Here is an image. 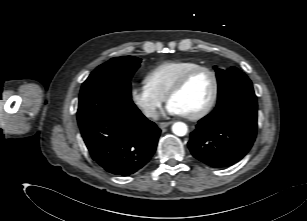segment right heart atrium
<instances>
[{
    "instance_id": "1",
    "label": "right heart atrium",
    "mask_w": 307,
    "mask_h": 221,
    "mask_svg": "<svg viewBox=\"0 0 307 221\" xmlns=\"http://www.w3.org/2000/svg\"><path fill=\"white\" fill-rule=\"evenodd\" d=\"M133 104L147 118H154L164 98L151 91L145 84L135 85L130 91Z\"/></svg>"
}]
</instances>
